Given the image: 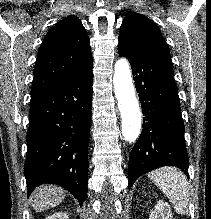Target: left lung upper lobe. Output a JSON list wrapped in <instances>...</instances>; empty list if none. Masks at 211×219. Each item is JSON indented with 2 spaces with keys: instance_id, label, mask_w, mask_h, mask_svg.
Wrapping results in <instances>:
<instances>
[{
  "instance_id": "obj_1",
  "label": "left lung upper lobe",
  "mask_w": 211,
  "mask_h": 219,
  "mask_svg": "<svg viewBox=\"0 0 211 219\" xmlns=\"http://www.w3.org/2000/svg\"><path fill=\"white\" fill-rule=\"evenodd\" d=\"M120 47L138 54L170 57L168 45L156 24L139 13H128L119 33Z\"/></svg>"
}]
</instances>
